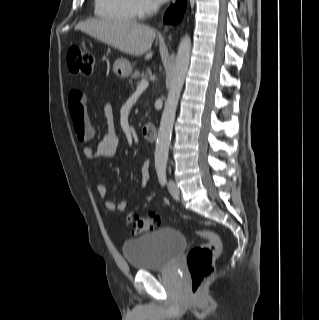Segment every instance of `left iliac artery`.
Returning a JSON list of instances; mask_svg holds the SVG:
<instances>
[{
  "label": "left iliac artery",
  "mask_w": 319,
  "mask_h": 320,
  "mask_svg": "<svg viewBox=\"0 0 319 320\" xmlns=\"http://www.w3.org/2000/svg\"><path fill=\"white\" fill-rule=\"evenodd\" d=\"M157 174H158L160 183L164 185L166 183V166H158Z\"/></svg>",
  "instance_id": "obj_1"
}]
</instances>
